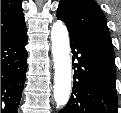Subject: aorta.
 <instances>
[{"mask_svg":"<svg viewBox=\"0 0 121 113\" xmlns=\"http://www.w3.org/2000/svg\"><path fill=\"white\" fill-rule=\"evenodd\" d=\"M51 40L55 67L54 98L58 106H64L71 90V63L69 35L62 21L58 20L52 25Z\"/></svg>","mask_w":121,"mask_h":113,"instance_id":"762f6f07","label":"aorta"}]
</instances>
